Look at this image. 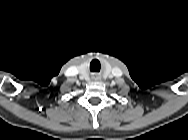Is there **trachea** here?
<instances>
[{"label":"trachea","mask_w":188,"mask_h":140,"mask_svg":"<svg viewBox=\"0 0 188 140\" xmlns=\"http://www.w3.org/2000/svg\"><path fill=\"white\" fill-rule=\"evenodd\" d=\"M100 68V62L98 60H92V62L90 63V70L91 71H95L98 70Z\"/></svg>","instance_id":"obj_1"}]
</instances>
